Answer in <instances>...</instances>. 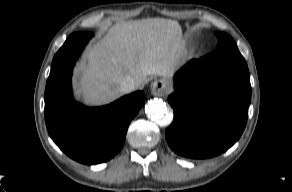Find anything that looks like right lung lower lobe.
<instances>
[{"mask_svg":"<svg viewBox=\"0 0 292 192\" xmlns=\"http://www.w3.org/2000/svg\"><path fill=\"white\" fill-rule=\"evenodd\" d=\"M93 36L90 32L71 34L56 53L45 89V121L56 145L83 164L110 160L123 147L131 120L145 101L142 91L96 108L75 102L72 96L73 66Z\"/></svg>","mask_w":292,"mask_h":192,"instance_id":"obj_1","label":"right lung lower lobe"}]
</instances>
